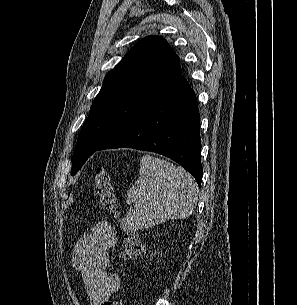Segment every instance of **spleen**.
<instances>
[{
	"label": "spleen",
	"instance_id": "1",
	"mask_svg": "<svg viewBox=\"0 0 297 305\" xmlns=\"http://www.w3.org/2000/svg\"><path fill=\"white\" fill-rule=\"evenodd\" d=\"M198 200V187L183 168L150 155L140 160V177L127 192L132 205L120 223L124 230L137 231L170 219L189 217Z\"/></svg>",
	"mask_w": 297,
	"mask_h": 305
}]
</instances>
